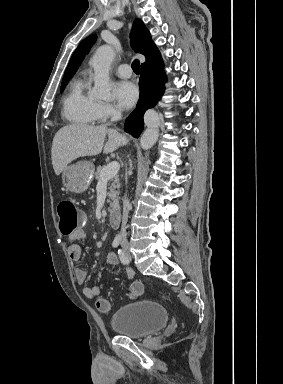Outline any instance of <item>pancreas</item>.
<instances>
[{"instance_id":"1","label":"pancreas","mask_w":283,"mask_h":384,"mask_svg":"<svg viewBox=\"0 0 283 384\" xmlns=\"http://www.w3.org/2000/svg\"><path fill=\"white\" fill-rule=\"evenodd\" d=\"M102 170H103V166H98L97 172L95 174L96 180H101ZM108 182H110V184H108V186H110V188H108V190H110L108 194L109 196L108 202L111 208L109 212H115V210H118L119 208V194H120L119 178L118 176H114V178H111V180H108Z\"/></svg>"}]
</instances>
